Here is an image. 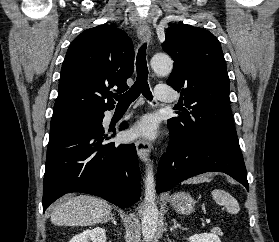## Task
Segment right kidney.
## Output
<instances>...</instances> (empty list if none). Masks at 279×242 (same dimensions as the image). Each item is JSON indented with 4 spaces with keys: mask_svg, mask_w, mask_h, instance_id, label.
Instances as JSON below:
<instances>
[{
    "mask_svg": "<svg viewBox=\"0 0 279 242\" xmlns=\"http://www.w3.org/2000/svg\"><path fill=\"white\" fill-rule=\"evenodd\" d=\"M106 239V230L95 227L75 235L69 242H106Z\"/></svg>",
    "mask_w": 279,
    "mask_h": 242,
    "instance_id": "ca27d5eb",
    "label": "right kidney"
}]
</instances>
